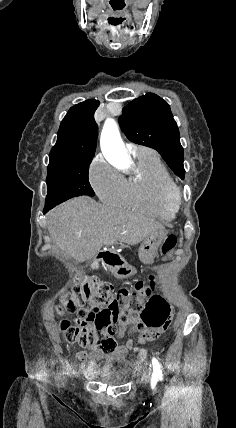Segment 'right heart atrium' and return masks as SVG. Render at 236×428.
<instances>
[{"mask_svg": "<svg viewBox=\"0 0 236 428\" xmlns=\"http://www.w3.org/2000/svg\"><path fill=\"white\" fill-rule=\"evenodd\" d=\"M88 178L93 191L104 205L117 206L122 203L125 179L101 155L91 162Z\"/></svg>", "mask_w": 236, "mask_h": 428, "instance_id": "obj_1", "label": "right heart atrium"}]
</instances>
